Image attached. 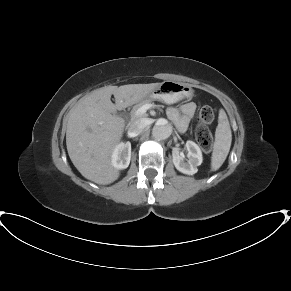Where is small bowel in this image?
<instances>
[{"label": "small bowel", "instance_id": "small-bowel-1", "mask_svg": "<svg viewBox=\"0 0 291 291\" xmlns=\"http://www.w3.org/2000/svg\"><path fill=\"white\" fill-rule=\"evenodd\" d=\"M196 105L192 102H187L180 109L169 107L167 110L168 118L181 131L188 128L190 119L195 115Z\"/></svg>", "mask_w": 291, "mask_h": 291}]
</instances>
